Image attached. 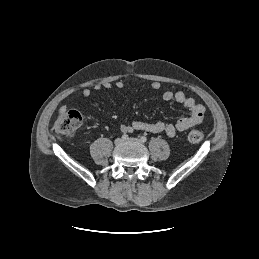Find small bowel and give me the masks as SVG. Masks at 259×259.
I'll use <instances>...</instances> for the list:
<instances>
[{
  "mask_svg": "<svg viewBox=\"0 0 259 259\" xmlns=\"http://www.w3.org/2000/svg\"><path fill=\"white\" fill-rule=\"evenodd\" d=\"M125 86L124 82L118 80L113 84L110 82H104L101 84L95 85L96 90H100L101 88L111 89L112 87H116L117 89H123ZM161 87V83L158 81H154L151 83V88L153 90H158ZM82 95L84 97H88L91 95V90L89 88H85L82 91ZM162 98L165 101H175L189 110V114L179 118L176 123H165L162 121L149 123L143 121H133L130 124L121 125V131L123 133H132L133 131L140 130L150 133H165L168 137H174L178 132H183L188 130L189 128L200 124L204 118L205 107L202 104H198L194 98L187 96L183 91H172L167 90L162 94ZM65 107L60 108V113L65 112Z\"/></svg>",
  "mask_w": 259,
  "mask_h": 259,
  "instance_id": "c3829d8e",
  "label": "small bowel"
}]
</instances>
